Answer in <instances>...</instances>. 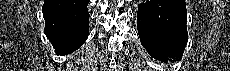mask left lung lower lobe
<instances>
[{
    "label": "left lung lower lobe",
    "instance_id": "obj_1",
    "mask_svg": "<svg viewBox=\"0 0 230 71\" xmlns=\"http://www.w3.org/2000/svg\"><path fill=\"white\" fill-rule=\"evenodd\" d=\"M186 18L185 0H147L138 5L142 46L154 59H181L188 41Z\"/></svg>",
    "mask_w": 230,
    "mask_h": 71
}]
</instances>
